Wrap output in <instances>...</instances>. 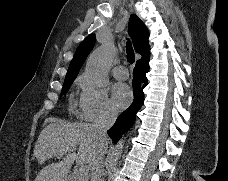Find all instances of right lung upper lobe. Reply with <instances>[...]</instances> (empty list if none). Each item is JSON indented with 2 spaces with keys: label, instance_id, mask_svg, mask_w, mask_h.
Segmentation results:
<instances>
[{
  "label": "right lung upper lobe",
  "instance_id": "cb5924a9",
  "mask_svg": "<svg viewBox=\"0 0 228 181\" xmlns=\"http://www.w3.org/2000/svg\"><path fill=\"white\" fill-rule=\"evenodd\" d=\"M128 31L133 39L135 51L141 54L142 58L150 55L149 33L144 23L135 15L132 14L129 19ZM95 44V35L90 34L78 46L75 55L68 68L65 81L74 80L78 75L79 69L83 65L86 57L92 50ZM64 81V82H65Z\"/></svg>",
  "mask_w": 228,
  "mask_h": 181
}]
</instances>
